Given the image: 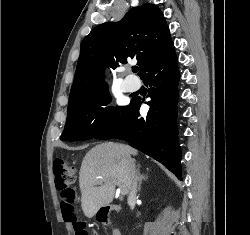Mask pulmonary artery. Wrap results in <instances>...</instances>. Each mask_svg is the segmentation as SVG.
Returning <instances> with one entry per match:
<instances>
[{
  "instance_id": "e3ab8cb5",
  "label": "pulmonary artery",
  "mask_w": 250,
  "mask_h": 235,
  "mask_svg": "<svg viewBox=\"0 0 250 235\" xmlns=\"http://www.w3.org/2000/svg\"><path fill=\"white\" fill-rule=\"evenodd\" d=\"M124 86L129 92H134L140 87L139 81H131L130 78L125 79Z\"/></svg>"
}]
</instances>
